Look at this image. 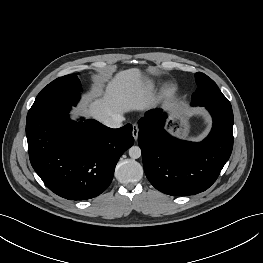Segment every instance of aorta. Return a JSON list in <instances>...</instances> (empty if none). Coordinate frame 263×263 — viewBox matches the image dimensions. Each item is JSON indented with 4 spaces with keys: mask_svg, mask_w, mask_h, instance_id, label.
<instances>
[{
    "mask_svg": "<svg viewBox=\"0 0 263 263\" xmlns=\"http://www.w3.org/2000/svg\"><path fill=\"white\" fill-rule=\"evenodd\" d=\"M129 156L132 159H138L141 157V149L138 146H132L129 148Z\"/></svg>",
    "mask_w": 263,
    "mask_h": 263,
    "instance_id": "obj_1",
    "label": "aorta"
}]
</instances>
